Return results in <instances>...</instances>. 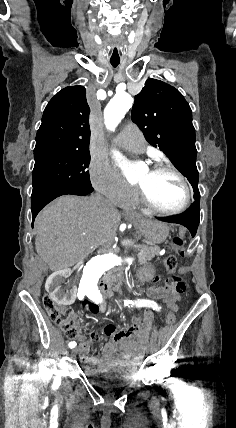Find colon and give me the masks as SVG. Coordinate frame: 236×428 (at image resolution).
Wrapping results in <instances>:
<instances>
[{
	"label": "colon",
	"mask_w": 236,
	"mask_h": 428,
	"mask_svg": "<svg viewBox=\"0 0 236 428\" xmlns=\"http://www.w3.org/2000/svg\"><path fill=\"white\" fill-rule=\"evenodd\" d=\"M171 247L179 255L184 254L182 238H173ZM164 265L167 272L170 274L166 279L167 290L175 296L183 294L186 290V284L181 277L175 275L177 258L173 255H169L165 258ZM43 305L50 319L64 331L67 338L79 339L81 337L77 316L72 309L57 304L50 296H45L43 298ZM84 309L91 313H97L99 311V307L90 301L85 302ZM175 311L176 305L169 307L166 313V321L168 323H173L175 321ZM139 324L140 319L138 317L132 318V327H138Z\"/></svg>",
	"instance_id": "5ec220e1"
}]
</instances>
